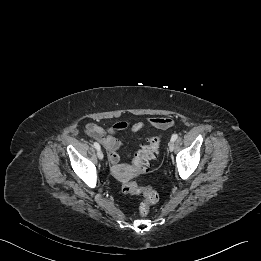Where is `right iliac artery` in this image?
Wrapping results in <instances>:
<instances>
[{
    "mask_svg": "<svg viewBox=\"0 0 261 261\" xmlns=\"http://www.w3.org/2000/svg\"><path fill=\"white\" fill-rule=\"evenodd\" d=\"M93 146H94L97 150H100V145H99L97 142H94V143H93Z\"/></svg>",
    "mask_w": 261,
    "mask_h": 261,
    "instance_id": "obj_1",
    "label": "right iliac artery"
}]
</instances>
